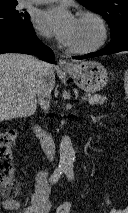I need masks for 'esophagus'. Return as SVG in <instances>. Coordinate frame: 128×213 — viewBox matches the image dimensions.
<instances>
[{"label":"esophagus","instance_id":"obj_1","mask_svg":"<svg viewBox=\"0 0 128 213\" xmlns=\"http://www.w3.org/2000/svg\"><path fill=\"white\" fill-rule=\"evenodd\" d=\"M58 65L62 69H71L72 68V64L70 62L66 61V60H63V59L58 60Z\"/></svg>","mask_w":128,"mask_h":213}]
</instances>
